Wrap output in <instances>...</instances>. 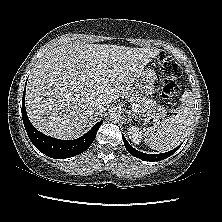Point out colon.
<instances>
[{
	"mask_svg": "<svg viewBox=\"0 0 222 222\" xmlns=\"http://www.w3.org/2000/svg\"><path fill=\"white\" fill-rule=\"evenodd\" d=\"M158 62L165 78L161 89L162 97L168 101L174 100L180 92L177 79L182 75V67L167 54H161Z\"/></svg>",
	"mask_w": 222,
	"mask_h": 222,
	"instance_id": "1",
	"label": "colon"
}]
</instances>
